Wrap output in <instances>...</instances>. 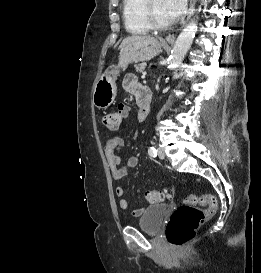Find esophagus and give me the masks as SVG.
Here are the masks:
<instances>
[{
	"label": "esophagus",
	"mask_w": 261,
	"mask_h": 273,
	"mask_svg": "<svg viewBox=\"0 0 261 273\" xmlns=\"http://www.w3.org/2000/svg\"><path fill=\"white\" fill-rule=\"evenodd\" d=\"M194 8H195V0H190V8H189V13H188V16H187V19H186V22L183 24V26L189 21V19L191 18L193 12H194ZM174 40H175V36L173 35H168L166 37V42L169 43V44H173L174 43Z\"/></svg>",
	"instance_id": "esophagus-1"
}]
</instances>
